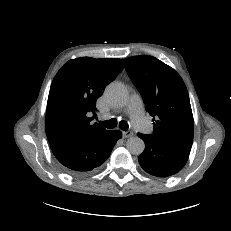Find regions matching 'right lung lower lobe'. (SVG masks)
Here are the masks:
<instances>
[{"label":"right lung lower lobe","instance_id":"obj_1","mask_svg":"<svg viewBox=\"0 0 231 231\" xmlns=\"http://www.w3.org/2000/svg\"><path fill=\"white\" fill-rule=\"evenodd\" d=\"M121 136L119 130H106L90 137L52 142L50 146L67 173L80 175L102 165Z\"/></svg>","mask_w":231,"mask_h":231}]
</instances>
